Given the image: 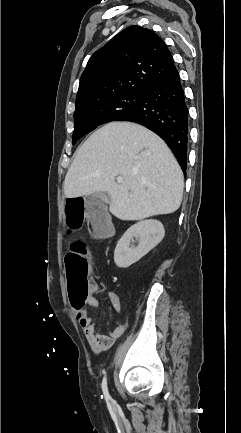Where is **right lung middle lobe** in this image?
<instances>
[{
    "mask_svg": "<svg viewBox=\"0 0 241 433\" xmlns=\"http://www.w3.org/2000/svg\"><path fill=\"white\" fill-rule=\"evenodd\" d=\"M142 98L143 92L126 91L76 104L73 144L98 126L119 121L133 111L141 103Z\"/></svg>",
    "mask_w": 241,
    "mask_h": 433,
    "instance_id": "obj_1",
    "label": "right lung middle lobe"
}]
</instances>
